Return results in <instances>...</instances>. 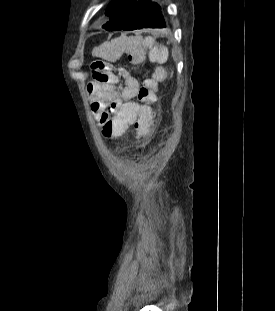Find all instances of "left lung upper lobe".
<instances>
[{"mask_svg": "<svg viewBox=\"0 0 275 311\" xmlns=\"http://www.w3.org/2000/svg\"><path fill=\"white\" fill-rule=\"evenodd\" d=\"M146 1L140 0H113L106 11L108 22L103 25L107 31L123 30L130 24Z\"/></svg>", "mask_w": 275, "mask_h": 311, "instance_id": "left-lung-upper-lobe-1", "label": "left lung upper lobe"}]
</instances>
